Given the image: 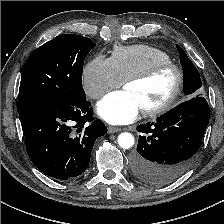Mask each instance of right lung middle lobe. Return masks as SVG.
Returning a JSON list of instances; mask_svg holds the SVG:
<instances>
[{"instance_id": "dd1d6c3e", "label": "right lung middle lobe", "mask_w": 224, "mask_h": 224, "mask_svg": "<svg viewBox=\"0 0 224 224\" xmlns=\"http://www.w3.org/2000/svg\"><path fill=\"white\" fill-rule=\"evenodd\" d=\"M94 46L89 38L62 34L36 49L22 73L18 113L45 100L74 103L86 99L82 87L83 64Z\"/></svg>"}]
</instances>
